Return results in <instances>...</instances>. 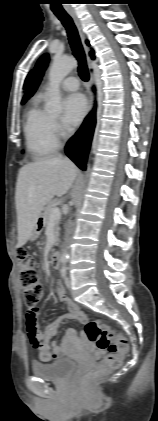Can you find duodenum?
Masks as SVG:
<instances>
[{"instance_id":"410a0bca","label":"duodenum","mask_w":158,"mask_h":421,"mask_svg":"<svg viewBox=\"0 0 158 421\" xmlns=\"http://www.w3.org/2000/svg\"><path fill=\"white\" fill-rule=\"evenodd\" d=\"M61 262V253L56 251L51 256V264L54 268H58Z\"/></svg>"}]
</instances>
